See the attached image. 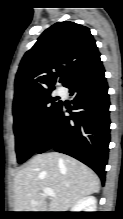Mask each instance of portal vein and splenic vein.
<instances>
[{
    "label": "portal vein and splenic vein",
    "instance_id": "1",
    "mask_svg": "<svg viewBox=\"0 0 123 219\" xmlns=\"http://www.w3.org/2000/svg\"><path fill=\"white\" fill-rule=\"evenodd\" d=\"M43 192L46 196L55 197V193L51 188H44Z\"/></svg>",
    "mask_w": 123,
    "mask_h": 219
}]
</instances>
